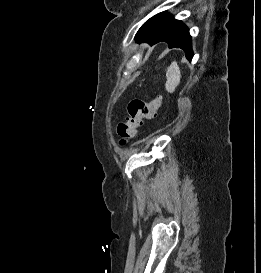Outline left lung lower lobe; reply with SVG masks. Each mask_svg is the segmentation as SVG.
Instances as JSON below:
<instances>
[{
	"label": "left lung lower lobe",
	"mask_w": 261,
	"mask_h": 273,
	"mask_svg": "<svg viewBox=\"0 0 261 273\" xmlns=\"http://www.w3.org/2000/svg\"><path fill=\"white\" fill-rule=\"evenodd\" d=\"M135 40L137 42H147L150 45L165 41L168 43L169 48L183 49L188 60L193 57L188 28L167 12H161L147 20L138 30Z\"/></svg>",
	"instance_id": "0a47b994"
}]
</instances>
